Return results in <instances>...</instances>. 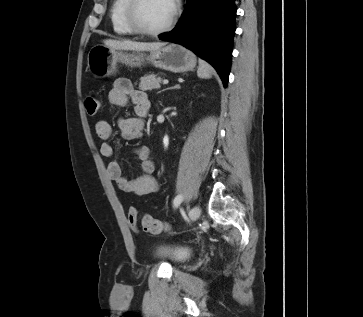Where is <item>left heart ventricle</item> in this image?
I'll return each instance as SVG.
<instances>
[{
	"instance_id": "left-heart-ventricle-1",
	"label": "left heart ventricle",
	"mask_w": 363,
	"mask_h": 317,
	"mask_svg": "<svg viewBox=\"0 0 363 317\" xmlns=\"http://www.w3.org/2000/svg\"><path fill=\"white\" fill-rule=\"evenodd\" d=\"M172 9L171 0H141L137 9V20L142 27L156 30L169 20Z\"/></svg>"
}]
</instances>
